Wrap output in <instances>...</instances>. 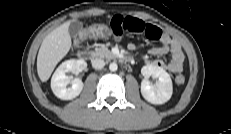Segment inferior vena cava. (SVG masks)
Masks as SVG:
<instances>
[{
  "label": "inferior vena cava",
  "mask_w": 231,
  "mask_h": 134,
  "mask_svg": "<svg viewBox=\"0 0 231 134\" xmlns=\"http://www.w3.org/2000/svg\"><path fill=\"white\" fill-rule=\"evenodd\" d=\"M93 68L102 69L105 66V61L101 58H96L91 61Z\"/></svg>",
  "instance_id": "inferior-vena-cava-1"
}]
</instances>
